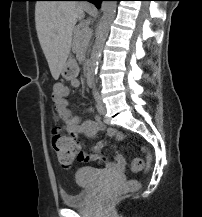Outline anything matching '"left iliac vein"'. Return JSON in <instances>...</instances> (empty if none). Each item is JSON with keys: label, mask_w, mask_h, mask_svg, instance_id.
<instances>
[{"label": "left iliac vein", "mask_w": 202, "mask_h": 217, "mask_svg": "<svg viewBox=\"0 0 202 217\" xmlns=\"http://www.w3.org/2000/svg\"><path fill=\"white\" fill-rule=\"evenodd\" d=\"M97 111L100 115H104L106 113V106L102 102L101 97H99L97 100Z\"/></svg>", "instance_id": "left-iliac-vein-1"}]
</instances>
